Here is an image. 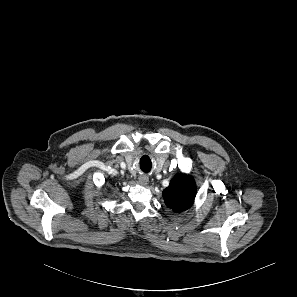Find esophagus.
<instances>
[{
    "label": "esophagus",
    "mask_w": 297,
    "mask_h": 297,
    "mask_svg": "<svg viewBox=\"0 0 297 297\" xmlns=\"http://www.w3.org/2000/svg\"><path fill=\"white\" fill-rule=\"evenodd\" d=\"M149 182V178L146 175H141L138 179V183L142 186H146Z\"/></svg>",
    "instance_id": "1"
}]
</instances>
